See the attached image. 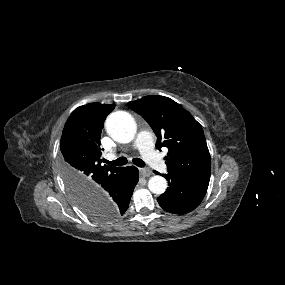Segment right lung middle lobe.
Returning a JSON list of instances; mask_svg holds the SVG:
<instances>
[{"mask_svg":"<svg viewBox=\"0 0 285 285\" xmlns=\"http://www.w3.org/2000/svg\"><path fill=\"white\" fill-rule=\"evenodd\" d=\"M65 183L72 194L74 200L80 207V209L90 218L98 221H111L117 218V214L108 205H100L92 202H85L79 199L76 190L68 182L66 175L64 174Z\"/></svg>","mask_w":285,"mask_h":285,"instance_id":"1","label":"right lung middle lobe"}]
</instances>
